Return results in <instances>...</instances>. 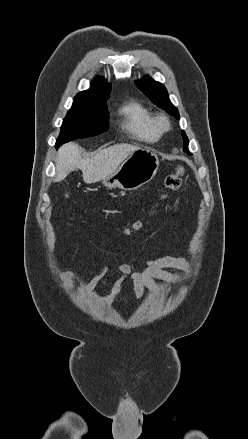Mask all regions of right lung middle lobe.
Here are the masks:
<instances>
[{
	"mask_svg": "<svg viewBox=\"0 0 248 439\" xmlns=\"http://www.w3.org/2000/svg\"><path fill=\"white\" fill-rule=\"evenodd\" d=\"M108 130V111L104 105L73 103L63 119L56 148L65 142L99 135Z\"/></svg>",
	"mask_w": 248,
	"mask_h": 439,
	"instance_id": "obj_1",
	"label": "right lung middle lobe"
}]
</instances>
